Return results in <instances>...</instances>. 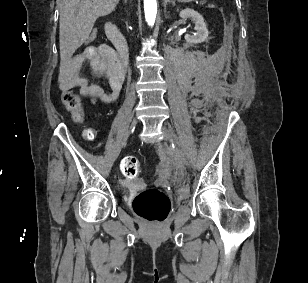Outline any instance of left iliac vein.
I'll return each mask as SVG.
<instances>
[{
	"mask_svg": "<svg viewBox=\"0 0 308 283\" xmlns=\"http://www.w3.org/2000/svg\"><path fill=\"white\" fill-rule=\"evenodd\" d=\"M162 131H163V135H164L166 142H168L170 144L175 143L174 135H173L171 130H169L168 128L163 126ZM174 156H175L177 164L180 167H183L184 165H186V163H187L186 157H185L184 153L181 151V149H179L178 147H176V149H175Z\"/></svg>",
	"mask_w": 308,
	"mask_h": 283,
	"instance_id": "obj_1",
	"label": "left iliac vein"
}]
</instances>
